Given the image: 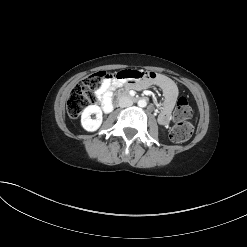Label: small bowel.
Listing matches in <instances>:
<instances>
[{"instance_id":"c3829d8e","label":"small bowel","mask_w":247,"mask_h":247,"mask_svg":"<svg viewBox=\"0 0 247 247\" xmlns=\"http://www.w3.org/2000/svg\"><path fill=\"white\" fill-rule=\"evenodd\" d=\"M148 82L157 84L163 91L164 99L158 121L161 125L167 126L170 123L171 112L178 97V89L176 84L165 75L129 68L116 72L114 78L105 79L96 96L103 111L110 112L113 108V94L117 89L126 85L128 88L140 90L146 87Z\"/></svg>"}]
</instances>
